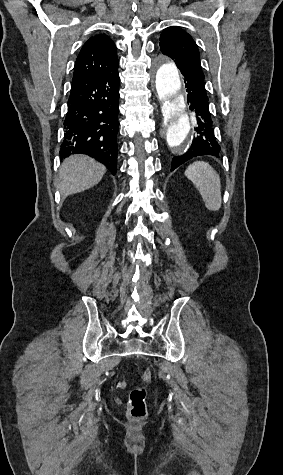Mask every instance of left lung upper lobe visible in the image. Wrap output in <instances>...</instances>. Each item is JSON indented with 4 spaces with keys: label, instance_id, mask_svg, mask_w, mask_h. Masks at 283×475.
<instances>
[{
    "label": "left lung upper lobe",
    "instance_id": "5c2ea615",
    "mask_svg": "<svg viewBox=\"0 0 283 475\" xmlns=\"http://www.w3.org/2000/svg\"><path fill=\"white\" fill-rule=\"evenodd\" d=\"M160 49L174 60L178 68L188 66L202 69L198 47L182 29L173 26L166 28L160 36Z\"/></svg>",
    "mask_w": 283,
    "mask_h": 475
}]
</instances>
